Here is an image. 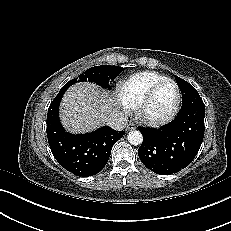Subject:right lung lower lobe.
I'll return each instance as SVG.
<instances>
[{"instance_id":"98d812e1","label":"right lung lower lobe","mask_w":231,"mask_h":231,"mask_svg":"<svg viewBox=\"0 0 231 231\" xmlns=\"http://www.w3.org/2000/svg\"><path fill=\"white\" fill-rule=\"evenodd\" d=\"M69 88L64 85L51 102L47 114V137L50 149L57 162L67 171L82 177L99 173L107 164L113 145L125 135L104 126L80 135L66 132L58 117L59 103Z\"/></svg>"}]
</instances>
